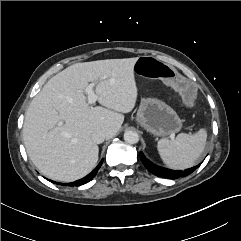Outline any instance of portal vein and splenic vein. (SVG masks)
I'll list each match as a JSON object with an SVG mask.
<instances>
[{"instance_id": "obj_1", "label": "portal vein and splenic vein", "mask_w": 241, "mask_h": 241, "mask_svg": "<svg viewBox=\"0 0 241 241\" xmlns=\"http://www.w3.org/2000/svg\"><path fill=\"white\" fill-rule=\"evenodd\" d=\"M95 84V82H92L85 88L89 104H94L98 100V96L93 91Z\"/></svg>"}]
</instances>
